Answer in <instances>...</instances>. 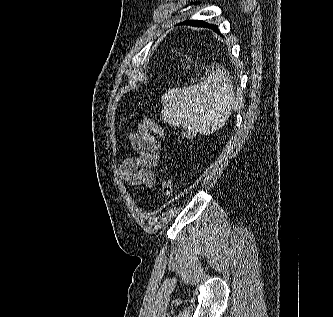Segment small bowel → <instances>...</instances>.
Segmentation results:
<instances>
[{
	"label": "small bowel",
	"instance_id": "small-bowel-1",
	"mask_svg": "<svg viewBox=\"0 0 333 317\" xmlns=\"http://www.w3.org/2000/svg\"><path fill=\"white\" fill-rule=\"evenodd\" d=\"M155 136L164 137L162 128L149 118L138 122L137 130L129 135L137 155L125 159L120 166L121 178L131 185L154 187L156 177L153 168L161 156V146Z\"/></svg>",
	"mask_w": 333,
	"mask_h": 317
}]
</instances>
